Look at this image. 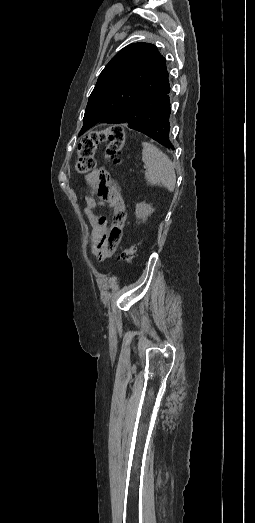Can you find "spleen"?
<instances>
[{
	"mask_svg": "<svg viewBox=\"0 0 255 523\" xmlns=\"http://www.w3.org/2000/svg\"><path fill=\"white\" fill-rule=\"evenodd\" d=\"M142 162L146 166L145 178L149 184H163L169 192H174L176 174L174 166L166 154L153 144L143 142Z\"/></svg>",
	"mask_w": 255,
	"mask_h": 523,
	"instance_id": "1",
	"label": "spleen"
}]
</instances>
